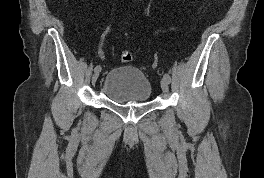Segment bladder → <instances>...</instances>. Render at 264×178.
Segmentation results:
<instances>
[{
  "label": "bladder",
  "mask_w": 264,
  "mask_h": 178,
  "mask_svg": "<svg viewBox=\"0 0 264 178\" xmlns=\"http://www.w3.org/2000/svg\"><path fill=\"white\" fill-rule=\"evenodd\" d=\"M101 93L118 104L141 103L149 101L152 86L140 69L117 67L106 74L101 84Z\"/></svg>",
  "instance_id": "bladder-1"
}]
</instances>
